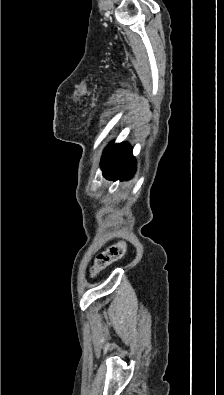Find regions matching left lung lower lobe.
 <instances>
[{"label": "left lung lower lobe", "mask_w": 224, "mask_h": 395, "mask_svg": "<svg viewBox=\"0 0 224 395\" xmlns=\"http://www.w3.org/2000/svg\"><path fill=\"white\" fill-rule=\"evenodd\" d=\"M101 167L108 179L130 178L136 168L131 147L126 143L110 144L103 153Z\"/></svg>", "instance_id": "obj_1"}]
</instances>
